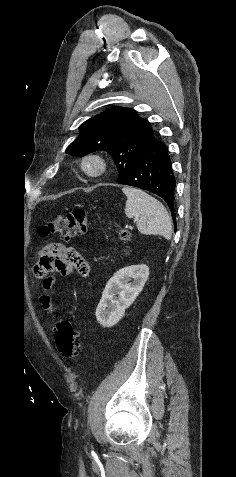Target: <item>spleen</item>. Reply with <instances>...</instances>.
I'll return each instance as SVG.
<instances>
[{"instance_id":"3e777b00","label":"spleen","mask_w":236,"mask_h":477,"mask_svg":"<svg viewBox=\"0 0 236 477\" xmlns=\"http://www.w3.org/2000/svg\"><path fill=\"white\" fill-rule=\"evenodd\" d=\"M122 191L127 196L125 214L128 218H135L138 230L143 234L161 235L170 240L172 222L163 204L136 188L124 187Z\"/></svg>"}]
</instances>
